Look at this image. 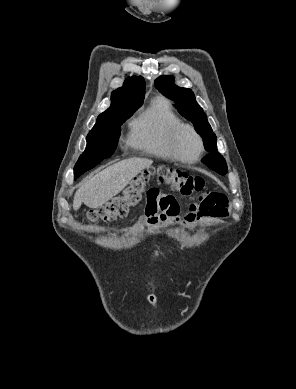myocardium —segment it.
I'll use <instances>...</instances> for the list:
<instances>
[{
  "instance_id": "myocardium-1",
  "label": "myocardium",
  "mask_w": 296,
  "mask_h": 389,
  "mask_svg": "<svg viewBox=\"0 0 296 389\" xmlns=\"http://www.w3.org/2000/svg\"><path fill=\"white\" fill-rule=\"evenodd\" d=\"M185 130L189 131L195 137V139L198 143L197 155L192 159L184 158L180 154L179 148H178L179 136L182 133V131H185ZM167 145H168V149H169L171 155L173 156V158H175L176 160H178L180 162L187 163V164L196 163L201 158V156L204 152V141H203L202 136L200 135V133L197 131V129L193 125L188 124V123H184V122H179V123L175 124L170 129L169 134H168V138H167Z\"/></svg>"
}]
</instances>
